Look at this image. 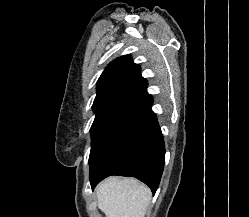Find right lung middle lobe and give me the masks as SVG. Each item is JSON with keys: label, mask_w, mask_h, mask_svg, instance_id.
Returning a JSON list of instances; mask_svg holds the SVG:
<instances>
[{"label": "right lung middle lobe", "mask_w": 249, "mask_h": 217, "mask_svg": "<svg viewBox=\"0 0 249 217\" xmlns=\"http://www.w3.org/2000/svg\"><path fill=\"white\" fill-rule=\"evenodd\" d=\"M121 94H107L96 97L93 103V111L96 114L94 122L91 127V137L96 130L100 120L104 116L107 109L120 98Z\"/></svg>", "instance_id": "dd1d6c3e"}]
</instances>
